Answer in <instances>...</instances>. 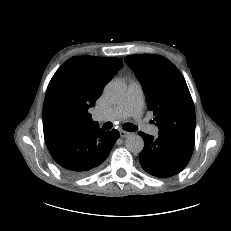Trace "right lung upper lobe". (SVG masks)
<instances>
[{
	"label": "right lung upper lobe",
	"mask_w": 231,
	"mask_h": 231,
	"mask_svg": "<svg viewBox=\"0 0 231 231\" xmlns=\"http://www.w3.org/2000/svg\"><path fill=\"white\" fill-rule=\"evenodd\" d=\"M123 65L120 58L75 56L65 61L50 80L43 106L44 137L98 127L90 107L95 106L104 86ZM59 103L66 109L63 124L55 128L50 121V107Z\"/></svg>",
	"instance_id": "1"
}]
</instances>
